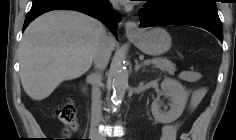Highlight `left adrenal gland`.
I'll return each mask as SVG.
<instances>
[{"instance_id": "obj_1", "label": "left adrenal gland", "mask_w": 236, "mask_h": 140, "mask_svg": "<svg viewBox=\"0 0 236 140\" xmlns=\"http://www.w3.org/2000/svg\"><path fill=\"white\" fill-rule=\"evenodd\" d=\"M135 72H138L141 68H142V71H145V66L144 65H140L138 63V60H135Z\"/></svg>"}]
</instances>
